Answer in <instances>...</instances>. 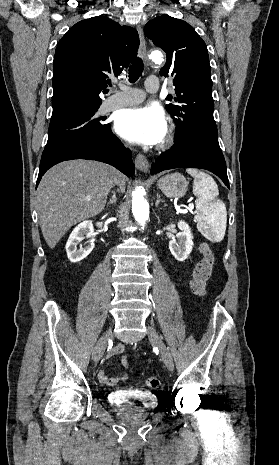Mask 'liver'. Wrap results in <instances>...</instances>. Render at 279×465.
Wrapping results in <instances>:
<instances>
[{
    "mask_svg": "<svg viewBox=\"0 0 279 465\" xmlns=\"http://www.w3.org/2000/svg\"><path fill=\"white\" fill-rule=\"evenodd\" d=\"M113 179L124 192L123 174L105 163L81 159L61 162L45 173L37 189L36 207L51 249L73 225L102 212Z\"/></svg>",
    "mask_w": 279,
    "mask_h": 465,
    "instance_id": "6515ba94",
    "label": "liver"
}]
</instances>
